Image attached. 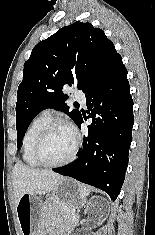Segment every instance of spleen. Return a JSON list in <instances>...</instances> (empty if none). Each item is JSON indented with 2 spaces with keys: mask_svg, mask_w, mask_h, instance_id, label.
<instances>
[{
  "mask_svg": "<svg viewBox=\"0 0 155 235\" xmlns=\"http://www.w3.org/2000/svg\"><path fill=\"white\" fill-rule=\"evenodd\" d=\"M80 187H81L82 191L84 192V194H85L86 196H88V195L90 194V189H89L88 187H86V186L83 185V184H81Z\"/></svg>",
  "mask_w": 155,
  "mask_h": 235,
  "instance_id": "1",
  "label": "spleen"
}]
</instances>
